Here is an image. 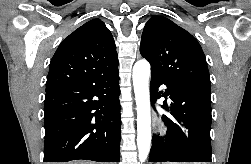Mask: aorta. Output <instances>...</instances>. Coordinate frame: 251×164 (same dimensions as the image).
Listing matches in <instances>:
<instances>
[{
    "label": "aorta",
    "mask_w": 251,
    "mask_h": 164,
    "mask_svg": "<svg viewBox=\"0 0 251 164\" xmlns=\"http://www.w3.org/2000/svg\"><path fill=\"white\" fill-rule=\"evenodd\" d=\"M150 64L141 59L134 64L132 79L137 110V146L139 160H146L151 142V108L149 95Z\"/></svg>",
    "instance_id": "762f6f07"
}]
</instances>
